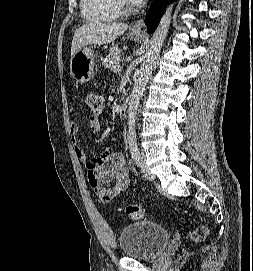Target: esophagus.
<instances>
[{"label": "esophagus", "instance_id": "esophagus-1", "mask_svg": "<svg viewBox=\"0 0 253 271\" xmlns=\"http://www.w3.org/2000/svg\"><path fill=\"white\" fill-rule=\"evenodd\" d=\"M132 31L139 34H145L146 33V25L143 18L137 20L133 26Z\"/></svg>", "mask_w": 253, "mask_h": 271}]
</instances>
